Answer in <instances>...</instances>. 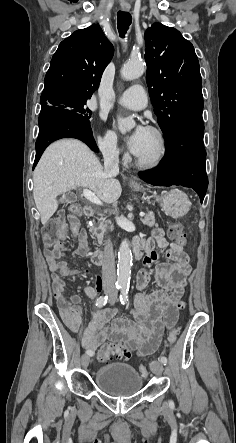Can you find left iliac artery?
<instances>
[{
	"label": "left iliac artery",
	"mask_w": 236,
	"mask_h": 443,
	"mask_svg": "<svg viewBox=\"0 0 236 443\" xmlns=\"http://www.w3.org/2000/svg\"><path fill=\"white\" fill-rule=\"evenodd\" d=\"M128 291L129 286H123L120 294V302L121 304H125L128 299ZM159 362L163 363L164 365L167 363V358L164 356L159 357Z\"/></svg>",
	"instance_id": "1"
}]
</instances>
